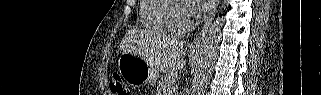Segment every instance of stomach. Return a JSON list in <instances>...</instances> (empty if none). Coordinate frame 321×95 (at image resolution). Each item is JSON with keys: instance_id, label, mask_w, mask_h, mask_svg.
I'll use <instances>...</instances> for the list:
<instances>
[{"instance_id": "1", "label": "stomach", "mask_w": 321, "mask_h": 95, "mask_svg": "<svg viewBox=\"0 0 321 95\" xmlns=\"http://www.w3.org/2000/svg\"><path fill=\"white\" fill-rule=\"evenodd\" d=\"M118 70L128 84H154L159 78V71L136 54L122 52L118 59Z\"/></svg>"}]
</instances>
